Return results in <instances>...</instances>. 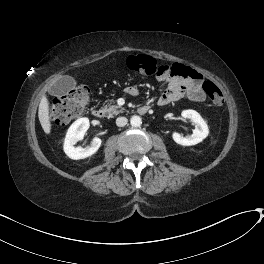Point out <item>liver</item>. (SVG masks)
I'll return each mask as SVG.
<instances>
[{
    "label": "liver",
    "instance_id": "obj_1",
    "mask_svg": "<svg viewBox=\"0 0 264 264\" xmlns=\"http://www.w3.org/2000/svg\"><path fill=\"white\" fill-rule=\"evenodd\" d=\"M48 98L45 96L39 105V120L46 134L51 133L50 108Z\"/></svg>",
    "mask_w": 264,
    "mask_h": 264
}]
</instances>
